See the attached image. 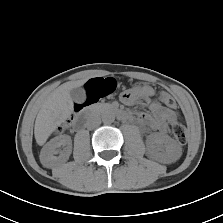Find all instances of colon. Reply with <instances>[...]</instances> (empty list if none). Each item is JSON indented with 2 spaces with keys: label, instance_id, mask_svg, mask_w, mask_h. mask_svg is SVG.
<instances>
[{
  "label": "colon",
  "instance_id": "5ec220e1",
  "mask_svg": "<svg viewBox=\"0 0 223 223\" xmlns=\"http://www.w3.org/2000/svg\"><path fill=\"white\" fill-rule=\"evenodd\" d=\"M116 90V83L113 79H105V80H90L85 85V99L82 104L77 105V109L79 110L84 105H89L97 102L99 99L109 96L114 93ZM161 102L167 107L173 108L175 107V100L168 94L162 93L160 95ZM171 130L175 138L180 144H185L187 141V133L183 124L179 122H175L171 126Z\"/></svg>",
  "mask_w": 223,
  "mask_h": 223
}]
</instances>
